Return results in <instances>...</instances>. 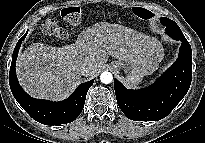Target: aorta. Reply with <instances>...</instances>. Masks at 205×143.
Instances as JSON below:
<instances>
[{"label": "aorta", "mask_w": 205, "mask_h": 143, "mask_svg": "<svg viewBox=\"0 0 205 143\" xmlns=\"http://www.w3.org/2000/svg\"><path fill=\"white\" fill-rule=\"evenodd\" d=\"M100 80L104 84H109L113 81V76L110 72L104 71L100 75Z\"/></svg>", "instance_id": "obj_1"}]
</instances>
